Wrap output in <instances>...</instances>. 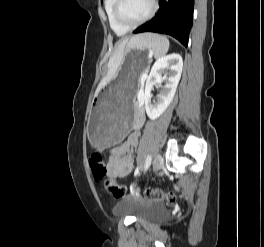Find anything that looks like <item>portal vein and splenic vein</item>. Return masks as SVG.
I'll return each instance as SVG.
<instances>
[{"instance_id": "obj_1", "label": "portal vein and splenic vein", "mask_w": 264, "mask_h": 247, "mask_svg": "<svg viewBox=\"0 0 264 247\" xmlns=\"http://www.w3.org/2000/svg\"><path fill=\"white\" fill-rule=\"evenodd\" d=\"M147 77V74L146 73H143L141 76H140V79L141 81L143 82Z\"/></svg>"}]
</instances>
